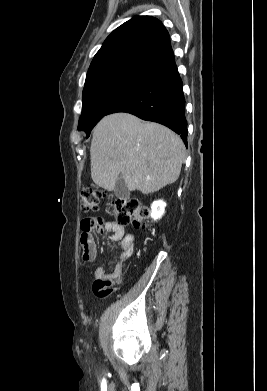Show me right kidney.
<instances>
[{"label":"right kidney","mask_w":267,"mask_h":391,"mask_svg":"<svg viewBox=\"0 0 267 391\" xmlns=\"http://www.w3.org/2000/svg\"><path fill=\"white\" fill-rule=\"evenodd\" d=\"M166 203L163 200L154 201L151 205V217L160 219L165 212Z\"/></svg>","instance_id":"right-kidney-1"}]
</instances>
